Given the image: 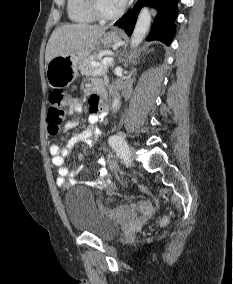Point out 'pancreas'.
I'll return each mask as SVG.
<instances>
[{"mask_svg":"<svg viewBox=\"0 0 233 284\" xmlns=\"http://www.w3.org/2000/svg\"><path fill=\"white\" fill-rule=\"evenodd\" d=\"M97 59H99L97 55H91L88 58H86L85 60H83V62L79 65V70H80L81 74L87 75V76L94 75L96 73L103 74L107 71L109 66L113 67L112 63L107 64V65L101 64L97 67H93L91 65V63L93 61H96Z\"/></svg>","mask_w":233,"mask_h":284,"instance_id":"obj_1","label":"pancreas"}]
</instances>
